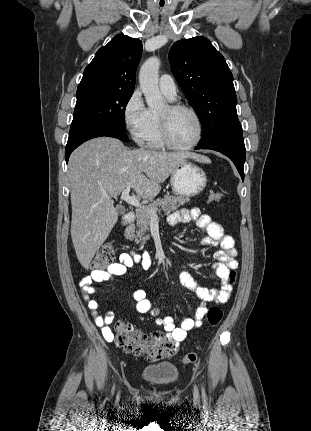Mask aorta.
I'll return each mask as SVG.
<instances>
[{
    "mask_svg": "<svg viewBox=\"0 0 311 431\" xmlns=\"http://www.w3.org/2000/svg\"><path fill=\"white\" fill-rule=\"evenodd\" d=\"M159 68H160V60L159 58H148L146 62H144L143 66L140 68L139 72V82L141 92H143L147 106L149 108H164L165 100L164 96L159 92Z\"/></svg>",
    "mask_w": 311,
    "mask_h": 431,
    "instance_id": "obj_1",
    "label": "aorta"
}]
</instances>
